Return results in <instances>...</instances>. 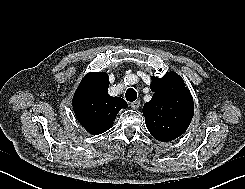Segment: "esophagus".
<instances>
[{
	"mask_svg": "<svg viewBox=\"0 0 245 189\" xmlns=\"http://www.w3.org/2000/svg\"><path fill=\"white\" fill-rule=\"evenodd\" d=\"M130 106H131L132 109L136 110V109H138L140 107V101L139 100L134 101V102H132L130 104Z\"/></svg>",
	"mask_w": 245,
	"mask_h": 189,
	"instance_id": "34e87169",
	"label": "esophagus"
}]
</instances>
